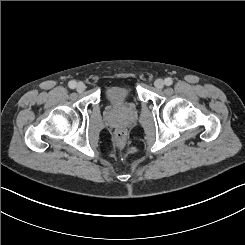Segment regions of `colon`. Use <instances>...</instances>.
I'll list each match as a JSON object with an SVG mask.
<instances>
[{"instance_id": "obj_1", "label": "colon", "mask_w": 245, "mask_h": 245, "mask_svg": "<svg viewBox=\"0 0 245 245\" xmlns=\"http://www.w3.org/2000/svg\"><path fill=\"white\" fill-rule=\"evenodd\" d=\"M127 138L126 131L123 129H119L115 132L114 140L118 146H122L125 144Z\"/></svg>"}]
</instances>
